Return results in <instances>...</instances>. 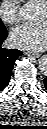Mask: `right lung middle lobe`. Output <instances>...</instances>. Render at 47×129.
Wrapping results in <instances>:
<instances>
[{
  "label": "right lung middle lobe",
  "mask_w": 47,
  "mask_h": 129,
  "mask_svg": "<svg viewBox=\"0 0 47 129\" xmlns=\"http://www.w3.org/2000/svg\"><path fill=\"white\" fill-rule=\"evenodd\" d=\"M3 29H5V27H4L3 23L0 21V31Z\"/></svg>",
  "instance_id": "right-lung-middle-lobe-1"
}]
</instances>
